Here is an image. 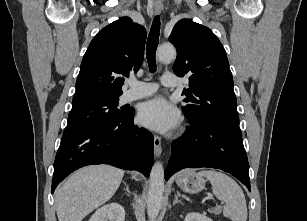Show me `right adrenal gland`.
<instances>
[{
    "label": "right adrenal gland",
    "mask_w": 307,
    "mask_h": 221,
    "mask_svg": "<svg viewBox=\"0 0 307 221\" xmlns=\"http://www.w3.org/2000/svg\"><path fill=\"white\" fill-rule=\"evenodd\" d=\"M124 185H125V190L126 192L130 193V190H129V187H128V184L126 182H123Z\"/></svg>",
    "instance_id": "1"
}]
</instances>
